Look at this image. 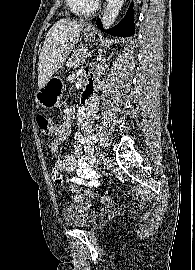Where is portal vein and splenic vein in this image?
I'll list each match as a JSON object with an SVG mask.
<instances>
[{
  "label": "portal vein and splenic vein",
  "instance_id": "portal-vein-and-splenic-vein-1",
  "mask_svg": "<svg viewBox=\"0 0 195 270\" xmlns=\"http://www.w3.org/2000/svg\"><path fill=\"white\" fill-rule=\"evenodd\" d=\"M85 57H91V53L85 52Z\"/></svg>",
  "mask_w": 195,
  "mask_h": 270
}]
</instances>
